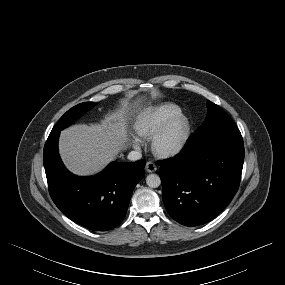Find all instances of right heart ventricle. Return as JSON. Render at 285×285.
I'll list each match as a JSON object with an SVG mask.
<instances>
[{"label": "right heart ventricle", "instance_id": "1", "mask_svg": "<svg viewBox=\"0 0 285 285\" xmlns=\"http://www.w3.org/2000/svg\"><path fill=\"white\" fill-rule=\"evenodd\" d=\"M181 108L172 102H161L142 109L136 116L134 128L139 136H153Z\"/></svg>", "mask_w": 285, "mask_h": 285}]
</instances>
